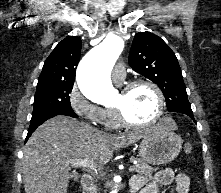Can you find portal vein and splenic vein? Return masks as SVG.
I'll return each instance as SVG.
<instances>
[{
  "instance_id": "portal-vein-and-splenic-vein-1",
  "label": "portal vein and splenic vein",
  "mask_w": 221,
  "mask_h": 193,
  "mask_svg": "<svg viewBox=\"0 0 221 193\" xmlns=\"http://www.w3.org/2000/svg\"><path fill=\"white\" fill-rule=\"evenodd\" d=\"M69 163L71 164L72 167H84V168H91L94 170H96V168L98 167L97 164L87 159L71 160L69 161ZM132 171H134V166L129 167V172Z\"/></svg>"
}]
</instances>
